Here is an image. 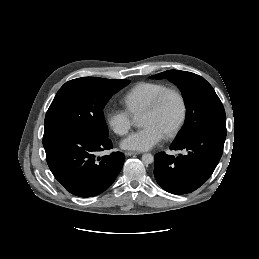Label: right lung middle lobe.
<instances>
[{"label": "right lung middle lobe", "instance_id": "dd1d6c3e", "mask_svg": "<svg viewBox=\"0 0 259 259\" xmlns=\"http://www.w3.org/2000/svg\"><path fill=\"white\" fill-rule=\"evenodd\" d=\"M130 83L82 77L68 81L57 92L44 123V132L61 129H80L108 137L103 108L113 94Z\"/></svg>", "mask_w": 259, "mask_h": 259}]
</instances>
